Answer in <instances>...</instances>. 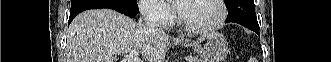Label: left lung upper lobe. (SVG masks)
Here are the masks:
<instances>
[{
    "instance_id": "5c2ea615",
    "label": "left lung upper lobe",
    "mask_w": 331,
    "mask_h": 62,
    "mask_svg": "<svg viewBox=\"0 0 331 62\" xmlns=\"http://www.w3.org/2000/svg\"><path fill=\"white\" fill-rule=\"evenodd\" d=\"M228 9L226 22L244 21L258 23L254 0H225Z\"/></svg>"
}]
</instances>
